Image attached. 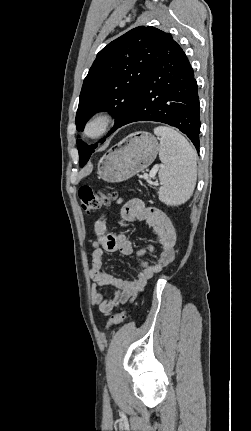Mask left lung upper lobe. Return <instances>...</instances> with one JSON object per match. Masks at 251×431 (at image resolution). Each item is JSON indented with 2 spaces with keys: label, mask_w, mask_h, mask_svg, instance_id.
I'll return each instance as SVG.
<instances>
[{
  "label": "left lung upper lobe",
  "mask_w": 251,
  "mask_h": 431,
  "mask_svg": "<svg viewBox=\"0 0 251 431\" xmlns=\"http://www.w3.org/2000/svg\"><path fill=\"white\" fill-rule=\"evenodd\" d=\"M170 34L151 26H139L105 46L84 79L76 114V128L83 131L88 119L99 111L115 116L116 130L126 119ZM104 139L102 140V142ZM79 163L83 167L97 144L78 140Z\"/></svg>",
  "instance_id": "5c2ea615"
}]
</instances>
